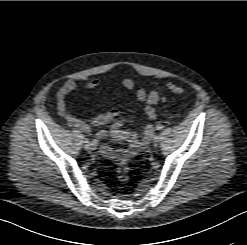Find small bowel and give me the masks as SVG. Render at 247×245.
<instances>
[{
	"mask_svg": "<svg viewBox=\"0 0 247 245\" xmlns=\"http://www.w3.org/2000/svg\"><path fill=\"white\" fill-rule=\"evenodd\" d=\"M101 84L97 78L89 80L84 84V90H92L99 87ZM123 87L131 92L136 90V98L140 102H144V113L149 120L156 119V110L147 99V93L143 88L136 89L135 82L132 78L126 77L122 80ZM78 88L76 80H67L58 90L56 98L57 112L64 121L73 128L78 129L83 133H91L92 126H99L107 124L113 121V124L109 129L100 130L96 132V136L99 138L111 137L115 140L126 141L128 145L126 148L119 150H113L108 146L101 147V153L113 160L130 159L141 152L151 141L154 134V127L152 124H147L144 128L143 135L141 137L135 131H125L121 127L126 122H132L133 118L129 116H122L119 107H111L106 109L101 114L95 115L89 119H82L68 111L67 98Z\"/></svg>",
	"mask_w": 247,
	"mask_h": 245,
	"instance_id": "c3829d8e",
	"label": "small bowel"
}]
</instances>
